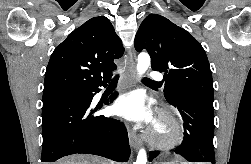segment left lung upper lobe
Returning <instances> with one entry per match:
<instances>
[{"label": "left lung upper lobe", "instance_id": "left-lung-upper-lobe-1", "mask_svg": "<svg viewBox=\"0 0 251 164\" xmlns=\"http://www.w3.org/2000/svg\"><path fill=\"white\" fill-rule=\"evenodd\" d=\"M134 45L138 52L148 51L153 70L165 72L164 96L169 103L185 97L214 100L206 53L186 30L161 15L150 14L140 25Z\"/></svg>", "mask_w": 251, "mask_h": 164}]
</instances>
